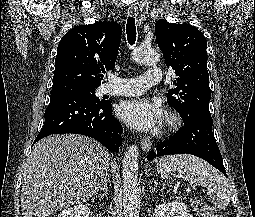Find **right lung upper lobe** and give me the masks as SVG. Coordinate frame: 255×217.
<instances>
[{"instance_id":"cb5924a9","label":"right lung upper lobe","mask_w":255,"mask_h":217,"mask_svg":"<svg viewBox=\"0 0 255 217\" xmlns=\"http://www.w3.org/2000/svg\"><path fill=\"white\" fill-rule=\"evenodd\" d=\"M121 33V26L109 21L79 25L68 31L57 48L52 87H99L101 71L115 67Z\"/></svg>"}]
</instances>
